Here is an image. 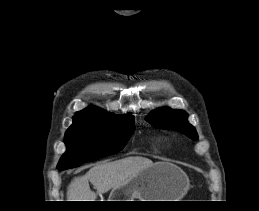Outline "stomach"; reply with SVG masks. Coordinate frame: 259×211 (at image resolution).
<instances>
[{
    "mask_svg": "<svg viewBox=\"0 0 259 211\" xmlns=\"http://www.w3.org/2000/svg\"><path fill=\"white\" fill-rule=\"evenodd\" d=\"M188 189L186 175L176 166L157 162L111 190L110 201H177Z\"/></svg>",
    "mask_w": 259,
    "mask_h": 211,
    "instance_id": "1",
    "label": "stomach"
}]
</instances>
